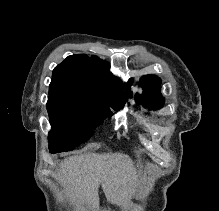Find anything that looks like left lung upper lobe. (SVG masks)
Instances as JSON below:
<instances>
[{"label":"left lung upper lobe","instance_id":"1","mask_svg":"<svg viewBox=\"0 0 219 211\" xmlns=\"http://www.w3.org/2000/svg\"><path fill=\"white\" fill-rule=\"evenodd\" d=\"M161 80L155 76H144L140 81V86L144 88V93L142 95L136 94V100L143 104V106L151 109H159L164 104V99L159 93ZM132 84V79L128 81L125 85V90L129 96H132L130 92V85ZM124 88V87H123ZM126 99V95H125Z\"/></svg>","mask_w":219,"mask_h":211}]
</instances>
